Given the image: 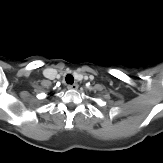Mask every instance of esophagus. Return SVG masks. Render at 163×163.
<instances>
[{
  "mask_svg": "<svg viewBox=\"0 0 163 163\" xmlns=\"http://www.w3.org/2000/svg\"><path fill=\"white\" fill-rule=\"evenodd\" d=\"M67 88L70 90H76L78 88V84L68 85Z\"/></svg>",
  "mask_w": 163,
  "mask_h": 163,
  "instance_id": "obj_1",
  "label": "esophagus"
}]
</instances>
